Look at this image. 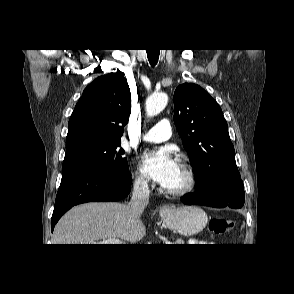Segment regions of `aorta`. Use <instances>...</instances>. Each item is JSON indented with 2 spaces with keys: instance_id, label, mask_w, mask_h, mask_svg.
<instances>
[{
  "instance_id": "762f6f07",
  "label": "aorta",
  "mask_w": 294,
  "mask_h": 294,
  "mask_svg": "<svg viewBox=\"0 0 294 294\" xmlns=\"http://www.w3.org/2000/svg\"><path fill=\"white\" fill-rule=\"evenodd\" d=\"M168 102V96L166 93H157L151 95L146 100V114L149 117L159 114L166 107Z\"/></svg>"
}]
</instances>
